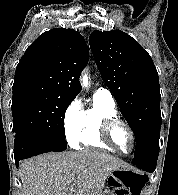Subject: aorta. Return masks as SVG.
I'll return each mask as SVG.
<instances>
[{
  "instance_id": "762f6f07",
  "label": "aorta",
  "mask_w": 178,
  "mask_h": 195,
  "mask_svg": "<svg viewBox=\"0 0 178 195\" xmlns=\"http://www.w3.org/2000/svg\"><path fill=\"white\" fill-rule=\"evenodd\" d=\"M81 84L84 88H88L90 86L89 77L86 72H84L81 76Z\"/></svg>"
}]
</instances>
